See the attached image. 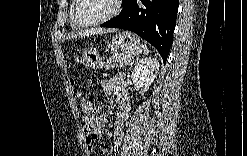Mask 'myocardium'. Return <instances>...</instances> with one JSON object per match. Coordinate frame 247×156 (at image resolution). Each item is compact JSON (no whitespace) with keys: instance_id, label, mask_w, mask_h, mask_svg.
Segmentation results:
<instances>
[{"instance_id":"f54148a6","label":"myocardium","mask_w":247,"mask_h":156,"mask_svg":"<svg viewBox=\"0 0 247 156\" xmlns=\"http://www.w3.org/2000/svg\"><path fill=\"white\" fill-rule=\"evenodd\" d=\"M82 2H83V0H77L76 1L74 9H73V13H72V22L78 28H91V27L101 25V24L109 21L113 17H115L119 13V10H120V1L119 0H112L113 7H112V10L110 11V13H108L104 17H101L95 21L84 23V22H81L77 17V13H78V10H79Z\"/></svg>"}]
</instances>
